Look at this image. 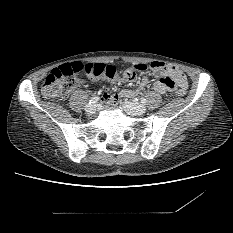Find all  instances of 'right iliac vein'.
I'll return each mask as SVG.
<instances>
[{
  "label": "right iliac vein",
  "instance_id": "63e3f726",
  "mask_svg": "<svg viewBox=\"0 0 233 233\" xmlns=\"http://www.w3.org/2000/svg\"><path fill=\"white\" fill-rule=\"evenodd\" d=\"M85 110L89 115H93L96 112V106L94 104H89L86 106Z\"/></svg>",
  "mask_w": 233,
  "mask_h": 233
}]
</instances>
